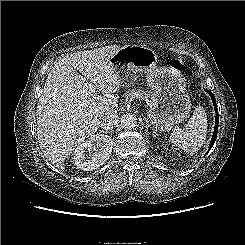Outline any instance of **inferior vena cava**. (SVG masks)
Listing matches in <instances>:
<instances>
[{"label":"inferior vena cava","mask_w":245,"mask_h":245,"mask_svg":"<svg viewBox=\"0 0 245 245\" xmlns=\"http://www.w3.org/2000/svg\"><path fill=\"white\" fill-rule=\"evenodd\" d=\"M118 122V116L117 114H106L101 120L99 127L106 130L113 129Z\"/></svg>","instance_id":"obj_1"}]
</instances>
